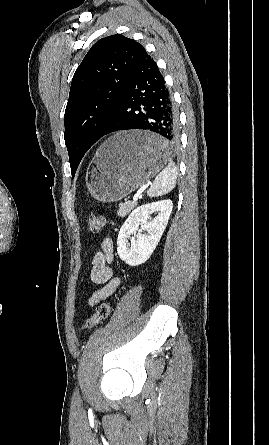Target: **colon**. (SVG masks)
<instances>
[{"label": "colon", "instance_id": "obj_1", "mask_svg": "<svg viewBox=\"0 0 269 445\" xmlns=\"http://www.w3.org/2000/svg\"><path fill=\"white\" fill-rule=\"evenodd\" d=\"M105 220L99 214H91L88 218V228L90 232L97 233L104 227ZM112 309V305L109 303H102L97 306L95 313L88 317L82 325L83 330H89L95 328L101 321L105 320Z\"/></svg>", "mask_w": 269, "mask_h": 445}]
</instances>
